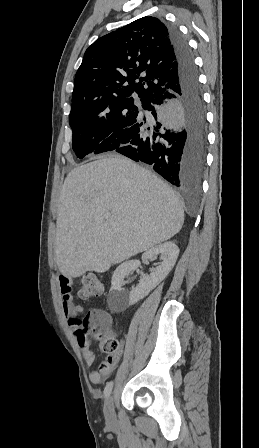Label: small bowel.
<instances>
[{
  "mask_svg": "<svg viewBox=\"0 0 259 448\" xmlns=\"http://www.w3.org/2000/svg\"><path fill=\"white\" fill-rule=\"evenodd\" d=\"M59 284L63 295V310L68 319L69 325L75 330L78 329L80 321L78 317L83 313V307L73 300L72 295V280L66 276L59 277ZM82 356L87 366H92L95 363V354L91 349L89 340H80ZM120 356H107L106 360L99 366L98 369L93 370L89 378L91 382L100 384L109 378L117 367Z\"/></svg>",
  "mask_w": 259,
  "mask_h": 448,
  "instance_id": "obj_1",
  "label": "small bowel"
}]
</instances>
